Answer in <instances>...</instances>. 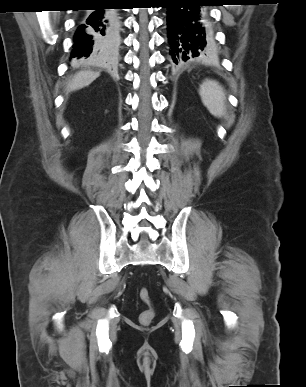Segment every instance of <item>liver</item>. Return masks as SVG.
<instances>
[{
	"instance_id": "liver-1",
	"label": "liver",
	"mask_w": 306,
	"mask_h": 387,
	"mask_svg": "<svg viewBox=\"0 0 306 387\" xmlns=\"http://www.w3.org/2000/svg\"><path fill=\"white\" fill-rule=\"evenodd\" d=\"M100 73L92 70H83L75 74L68 84V91H76L90 85Z\"/></svg>"
}]
</instances>
